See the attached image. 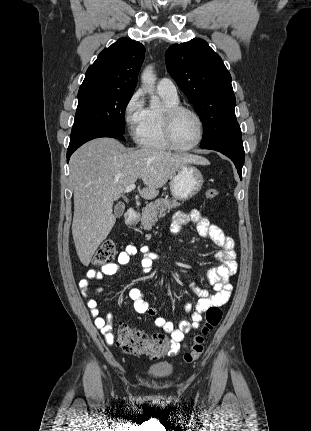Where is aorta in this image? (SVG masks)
<instances>
[{
    "instance_id": "1",
    "label": "aorta",
    "mask_w": 311,
    "mask_h": 431,
    "mask_svg": "<svg viewBox=\"0 0 311 431\" xmlns=\"http://www.w3.org/2000/svg\"><path fill=\"white\" fill-rule=\"evenodd\" d=\"M142 84L144 86V90H147L148 94H150V108H159L161 106L160 98L158 96H154V84H156V74H154L153 66H147L144 72H142L141 76Z\"/></svg>"
}]
</instances>
